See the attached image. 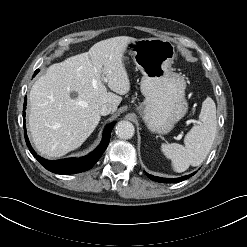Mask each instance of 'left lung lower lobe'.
Listing matches in <instances>:
<instances>
[{
  "label": "left lung lower lobe",
  "instance_id": "left-lung-lower-lobe-1",
  "mask_svg": "<svg viewBox=\"0 0 247 247\" xmlns=\"http://www.w3.org/2000/svg\"><path fill=\"white\" fill-rule=\"evenodd\" d=\"M196 172H194L191 175H187V176H183L180 178H174V179H169V178H161V177H156V176H152L146 173V175L153 181H157L160 183H177V182H181L184 181L186 179H188L190 176L194 175Z\"/></svg>",
  "mask_w": 247,
  "mask_h": 247
}]
</instances>
